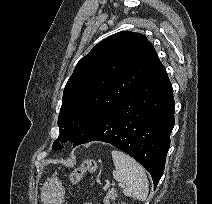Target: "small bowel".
I'll list each match as a JSON object with an SVG mask.
<instances>
[{
  "mask_svg": "<svg viewBox=\"0 0 212 204\" xmlns=\"http://www.w3.org/2000/svg\"><path fill=\"white\" fill-rule=\"evenodd\" d=\"M84 204H92V203H84Z\"/></svg>",
  "mask_w": 212,
  "mask_h": 204,
  "instance_id": "obj_1",
  "label": "small bowel"
}]
</instances>
